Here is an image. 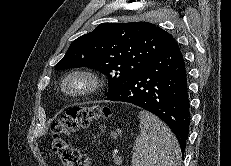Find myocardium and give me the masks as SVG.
<instances>
[{"label": "myocardium", "mask_w": 231, "mask_h": 166, "mask_svg": "<svg viewBox=\"0 0 231 166\" xmlns=\"http://www.w3.org/2000/svg\"><path fill=\"white\" fill-rule=\"evenodd\" d=\"M102 76L90 68H75L60 79L59 88L67 97H86L98 92L103 86Z\"/></svg>", "instance_id": "1"}]
</instances>
